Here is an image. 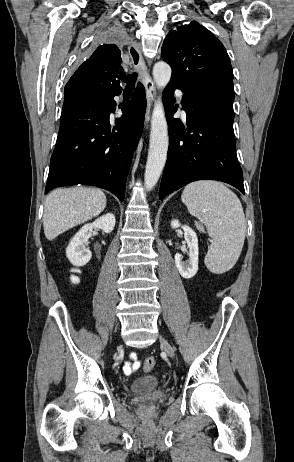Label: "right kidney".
I'll return each instance as SVG.
<instances>
[{
    "label": "right kidney",
    "mask_w": 294,
    "mask_h": 462,
    "mask_svg": "<svg viewBox=\"0 0 294 462\" xmlns=\"http://www.w3.org/2000/svg\"><path fill=\"white\" fill-rule=\"evenodd\" d=\"M114 226L115 216L111 213L101 216L93 223L83 226L71 239L66 248V256L68 260L77 267L86 265L90 261L92 253L85 247V244L92 236L93 228H99L105 233H111Z\"/></svg>",
    "instance_id": "right-kidney-1"
}]
</instances>
